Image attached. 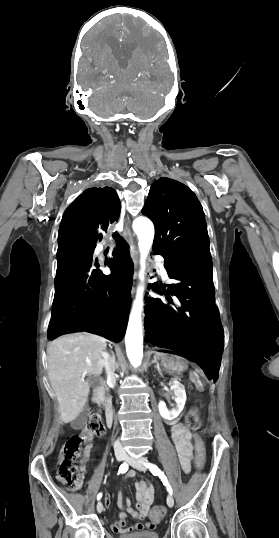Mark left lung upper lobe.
Returning <instances> with one entry per match:
<instances>
[{
    "mask_svg": "<svg viewBox=\"0 0 279 538\" xmlns=\"http://www.w3.org/2000/svg\"><path fill=\"white\" fill-rule=\"evenodd\" d=\"M142 213L155 225L153 250L164 258L184 264L212 263L202 206L187 186L160 178L152 184Z\"/></svg>",
    "mask_w": 279,
    "mask_h": 538,
    "instance_id": "1",
    "label": "left lung upper lobe"
}]
</instances>
